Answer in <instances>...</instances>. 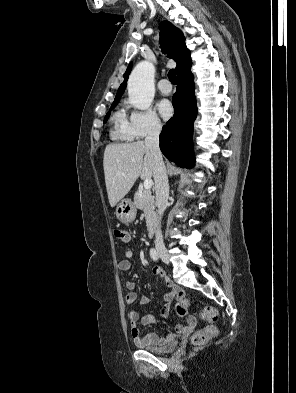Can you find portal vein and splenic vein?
<instances>
[{"mask_svg": "<svg viewBox=\"0 0 296 393\" xmlns=\"http://www.w3.org/2000/svg\"><path fill=\"white\" fill-rule=\"evenodd\" d=\"M153 185L152 179H145L144 180V188L145 190H149Z\"/></svg>", "mask_w": 296, "mask_h": 393, "instance_id": "1", "label": "portal vein and splenic vein"}]
</instances>
